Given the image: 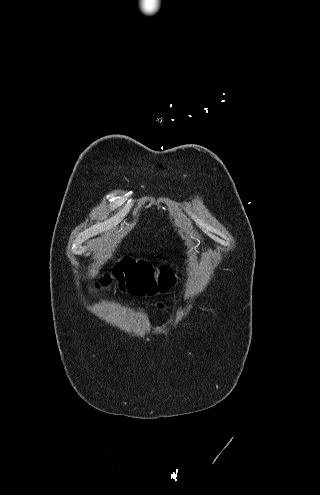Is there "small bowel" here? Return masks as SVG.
Returning <instances> with one entry per match:
<instances>
[{
    "instance_id": "small-bowel-1",
    "label": "small bowel",
    "mask_w": 320,
    "mask_h": 495,
    "mask_svg": "<svg viewBox=\"0 0 320 495\" xmlns=\"http://www.w3.org/2000/svg\"><path fill=\"white\" fill-rule=\"evenodd\" d=\"M157 307H158L159 309H161V310H165V309H166V306H165V304H163V303H159V304H157Z\"/></svg>"
}]
</instances>
